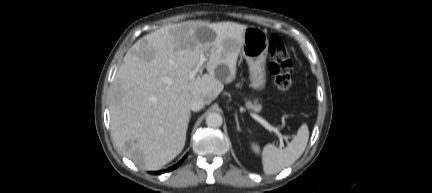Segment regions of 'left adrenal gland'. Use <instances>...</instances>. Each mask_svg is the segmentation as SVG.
<instances>
[{"instance_id": "left-adrenal-gland-1", "label": "left adrenal gland", "mask_w": 432, "mask_h": 193, "mask_svg": "<svg viewBox=\"0 0 432 193\" xmlns=\"http://www.w3.org/2000/svg\"><path fill=\"white\" fill-rule=\"evenodd\" d=\"M235 121H236V125H237V130L241 131L237 114H235Z\"/></svg>"}]
</instances>
